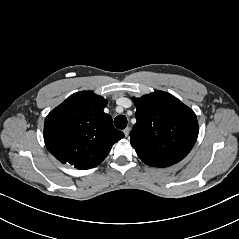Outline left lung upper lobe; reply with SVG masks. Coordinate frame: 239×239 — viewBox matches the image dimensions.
I'll use <instances>...</instances> for the list:
<instances>
[{
    "label": "left lung upper lobe",
    "mask_w": 239,
    "mask_h": 239,
    "mask_svg": "<svg viewBox=\"0 0 239 239\" xmlns=\"http://www.w3.org/2000/svg\"><path fill=\"white\" fill-rule=\"evenodd\" d=\"M136 119L130 137L139 158L167 167L184 159L198 137L197 117L173 95L156 91L133 99Z\"/></svg>",
    "instance_id": "5c2ea615"
}]
</instances>
